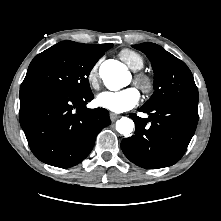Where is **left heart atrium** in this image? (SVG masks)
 Listing matches in <instances>:
<instances>
[{"label": "left heart atrium", "mask_w": 221, "mask_h": 221, "mask_svg": "<svg viewBox=\"0 0 221 221\" xmlns=\"http://www.w3.org/2000/svg\"><path fill=\"white\" fill-rule=\"evenodd\" d=\"M140 101V92L135 87L118 91H105L97 96L98 106L115 113H121L135 107Z\"/></svg>", "instance_id": "left-heart-atrium-1"}]
</instances>
